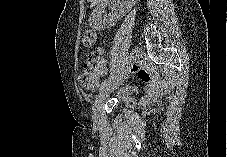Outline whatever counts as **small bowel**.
<instances>
[{
	"label": "small bowel",
	"mask_w": 227,
	"mask_h": 157,
	"mask_svg": "<svg viewBox=\"0 0 227 157\" xmlns=\"http://www.w3.org/2000/svg\"><path fill=\"white\" fill-rule=\"evenodd\" d=\"M107 72V63L105 59H100L94 72H93V81L88 87L92 90L96 89L99 85L100 77L105 75ZM130 72L136 74L140 80L144 83V90L140 93L139 101L137 102L131 95L138 94V89L136 86L127 85L118 90V95L122 100L130 107H135L137 104H147L153 100L157 95V85L152 80L150 74L143 68L132 65Z\"/></svg>",
	"instance_id": "obj_1"
}]
</instances>
